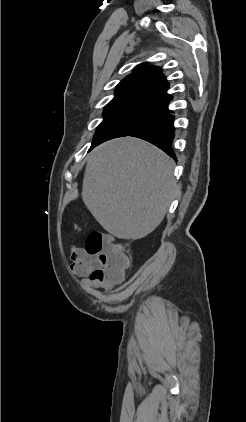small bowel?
<instances>
[{
  "instance_id": "small-bowel-1",
  "label": "small bowel",
  "mask_w": 246,
  "mask_h": 422,
  "mask_svg": "<svg viewBox=\"0 0 246 422\" xmlns=\"http://www.w3.org/2000/svg\"><path fill=\"white\" fill-rule=\"evenodd\" d=\"M71 270L81 277V283L85 287L103 289L105 292L111 291L123 279V274L115 279H97L93 272L97 269L96 256L87 253L85 248H73L71 252Z\"/></svg>"
}]
</instances>
